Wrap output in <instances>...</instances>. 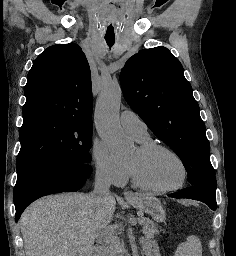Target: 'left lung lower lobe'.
<instances>
[{
  "instance_id": "1",
  "label": "left lung lower lobe",
  "mask_w": 236,
  "mask_h": 256,
  "mask_svg": "<svg viewBox=\"0 0 236 256\" xmlns=\"http://www.w3.org/2000/svg\"><path fill=\"white\" fill-rule=\"evenodd\" d=\"M173 198L194 199L207 204L212 210L217 209L216 188L205 185H194L177 193L169 194Z\"/></svg>"
}]
</instances>
